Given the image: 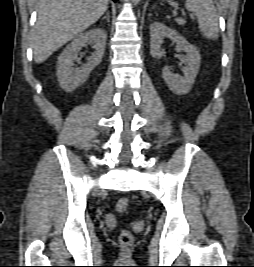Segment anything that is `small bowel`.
<instances>
[{"label":"small bowel","instance_id":"small-bowel-1","mask_svg":"<svg viewBox=\"0 0 254 267\" xmlns=\"http://www.w3.org/2000/svg\"><path fill=\"white\" fill-rule=\"evenodd\" d=\"M107 220L112 223L114 221V217L112 215H108Z\"/></svg>","mask_w":254,"mask_h":267}]
</instances>
